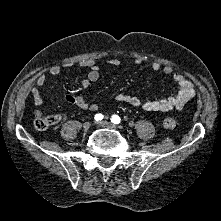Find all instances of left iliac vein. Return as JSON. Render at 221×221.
I'll return each mask as SVG.
<instances>
[{"label":"left iliac vein","instance_id":"4c4485c4","mask_svg":"<svg viewBox=\"0 0 221 221\" xmlns=\"http://www.w3.org/2000/svg\"><path fill=\"white\" fill-rule=\"evenodd\" d=\"M98 125L103 128H107V129H111V130H118V127L116 125H114L113 123L107 122V121L98 122Z\"/></svg>","mask_w":221,"mask_h":221}]
</instances>
